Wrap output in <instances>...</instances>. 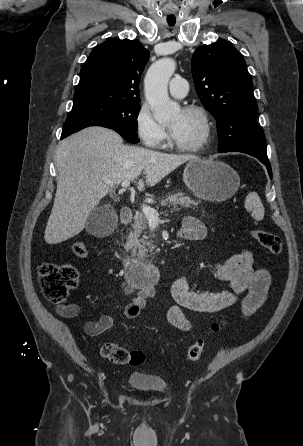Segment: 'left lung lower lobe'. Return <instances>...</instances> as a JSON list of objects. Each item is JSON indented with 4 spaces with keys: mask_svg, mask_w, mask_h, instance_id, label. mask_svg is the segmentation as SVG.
Masks as SVG:
<instances>
[{
    "mask_svg": "<svg viewBox=\"0 0 303 446\" xmlns=\"http://www.w3.org/2000/svg\"><path fill=\"white\" fill-rule=\"evenodd\" d=\"M246 154L252 155V156L256 157L260 162H262L266 166L270 178H272V170H271V166H270V163H269L267 157H261V156L250 154V153H246Z\"/></svg>",
    "mask_w": 303,
    "mask_h": 446,
    "instance_id": "obj_1",
    "label": "left lung lower lobe"
}]
</instances>
